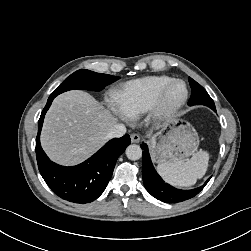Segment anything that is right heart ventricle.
<instances>
[{"instance_id":"right-heart-ventricle-1","label":"right heart ventricle","mask_w":251,"mask_h":251,"mask_svg":"<svg viewBox=\"0 0 251 251\" xmlns=\"http://www.w3.org/2000/svg\"><path fill=\"white\" fill-rule=\"evenodd\" d=\"M173 80L167 75H154L126 82L115 95L117 108L127 117H137L151 108L160 89Z\"/></svg>"}]
</instances>
